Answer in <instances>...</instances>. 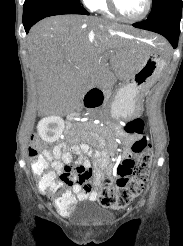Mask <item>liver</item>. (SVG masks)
<instances>
[{
  "mask_svg": "<svg viewBox=\"0 0 183 246\" xmlns=\"http://www.w3.org/2000/svg\"><path fill=\"white\" fill-rule=\"evenodd\" d=\"M149 39L159 51L161 37L97 17L62 15L34 25L27 37L30 69L40 100L59 115L75 110L93 87L128 79L141 56L121 34Z\"/></svg>",
  "mask_w": 183,
  "mask_h": 246,
  "instance_id": "liver-1",
  "label": "liver"
}]
</instances>
